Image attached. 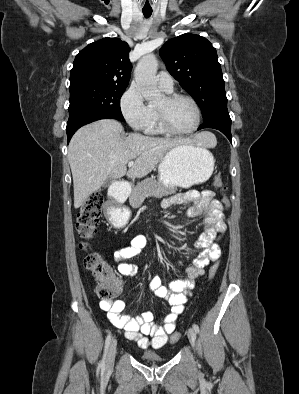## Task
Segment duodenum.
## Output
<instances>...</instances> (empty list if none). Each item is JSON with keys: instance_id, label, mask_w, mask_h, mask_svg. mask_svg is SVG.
<instances>
[{"instance_id": "obj_1", "label": "duodenum", "mask_w": 299, "mask_h": 394, "mask_svg": "<svg viewBox=\"0 0 299 394\" xmlns=\"http://www.w3.org/2000/svg\"><path fill=\"white\" fill-rule=\"evenodd\" d=\"M128 191L129 188L124 184L111 188L109 192L110 201L105 206L106 218L110 222L117 221L119 204L125 200Z\"/></svg>"}]
</instances>
